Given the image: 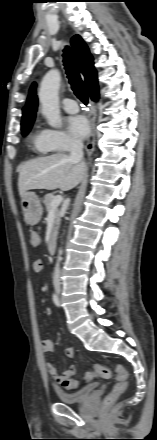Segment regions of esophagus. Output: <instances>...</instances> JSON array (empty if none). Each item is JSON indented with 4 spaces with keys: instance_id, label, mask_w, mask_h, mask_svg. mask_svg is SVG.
Masks as SVG:
<instances>
[{
    "instance_id": "obj_1",
    "label": "esophagus",
    "mask_w": 157,
    "mask_h": 440,
    "mask_svg": "<svg viewBox=\"0 0 157 440\" xmlns=\"http://www.w3.org/2000/svg\"><path fill=\"white\" fill-rule=\"evenodd\" d=\"M95 120H96V111L93 103L91 102L90 110H89V124L91 128V134L85 146L87 155L92 154L95 148Z\"/></svg>"
}]
</instances>
